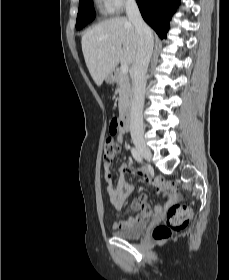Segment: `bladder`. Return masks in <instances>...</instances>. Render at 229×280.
Listing matches in <instances>:
<instances>
[{
	"label": "bladder",
	"instance_id": "obj_1",
	"mask_svg": "<svg viewBox=\"0 0 229 280\" xmlns=\"http://www.w3.org/2000/svg\"><path fill=\"white\" fill-rule=\"evenodd\" d=\"M147 227V221L142 219L137 221L132 227L113 232V235L125 239H136L141 237Z\"/></svg>",
	"mask_w": 229,
	"mask_h": 280
}]
</instances>
